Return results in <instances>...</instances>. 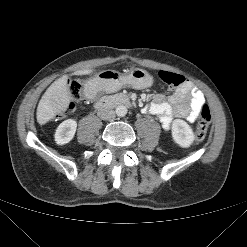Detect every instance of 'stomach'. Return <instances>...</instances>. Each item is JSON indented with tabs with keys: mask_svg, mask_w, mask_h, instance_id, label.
I'll return each instance as SVG.
<instances>
[{
	"mask_svg": "<svg viewBox=\"0 0 247 247\" xmlns=\"http://www.w3.org/2000/svg\"><path fill=\"white\" fill-rule=\"evenodd\" d=\"M117 87L130 86L134 89H144L152 85L153 80L148 72L143 69L134 68L126 74H119L115 71H102L89 80L88 84L95 89L104 88L112 89V84Z\"/></svg>",
	"mask_w": 247,
	"mask_h": 247,
	"instance_id": "stomach-1",
	"label": "stomach"
}]
</instances>
